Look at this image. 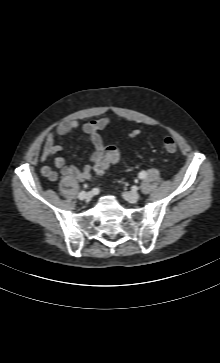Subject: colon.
<instances>
[{
	"label": "colon",
	"mask_w": 220,
	"mask_h": 363,
	"mask_svg": "<svg viewBox=\"0 0 220 363\" xmlns=\"http://www.w3.org/2000/svg\"><path fill=\"white\" fill-rule=\"evenodd\" d=\"M139 134V131H133L131 133V137H136ZM164 148L169 153H174L177 150V143L176 141L171 138L167 137L163 141ZM120 158V152L117 147L115 146H109L106 147L103 151V162L104 165L110 166L114 165L119 161ZM104 171V168H98L96 171V175L100 176Z\"/></svg>",
	"instance_id": "1"
}]
</instances>
